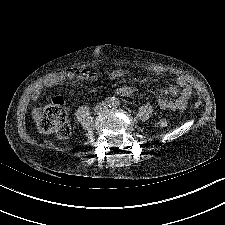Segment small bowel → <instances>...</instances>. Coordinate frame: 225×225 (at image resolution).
<instances>
[{
    "mask_svg": "<svg viewBox=\"0 0 225 225\" xmlns=\"http://www.w3.org/2000/svg\"><path fill=\"white\" fill-rule=\"evenodd\" d=\"M155 73L160 74L162 70L155 69ZM127 74L125 69H115L110 73V77L118 79ZM96 73L91 70H68L54 73L45 78L32 92L31 99L36 102L41 98L44 89L62 84L65 81H69L70 84L77 86L82 81H93L96 79ZM177 84L181 87V91L176 86H168L160 91V97L158 98V106L164 110H181L187 105L188 99L192 94V90L188 85L184 77L177 78ZM117 94L123 97H128L135 92V88L130 85L121 86L116 90ZM167 95H179L177 99L170 100L166 98ZM38 110L34 111L35 118L38 114Z\"/></svg>",
    "mask_w": 225,
    "mask_h": 225,
    "instance_id": "1",
    "label": "small bowel"
}]
</instances>
